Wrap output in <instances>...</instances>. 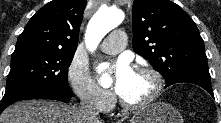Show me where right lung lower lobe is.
<instances>
[{
    "label": "right lung lower lobe",
    "mask_w": 221,
    "mask_h": 123,
    "mask_svg": "<svg viewBox=\"0 0 221 123\" xmlns=\"http://www.w3.org/2000/svg\"><path fill=\"white\" fill-rule=\"evenodd\" d=\"M72 96V90H66V89H51L45 93H41L37 96H34L32 98L25 97L24 95H16L10 99H8L6 102L1 103L0 106V114L1 112L8 107L9 105L20 101V100H30V99H54L59 100L63 102H67L70 100Z\"/></svg>",
    "instance_id": "obj_1"
}]
</instances>
